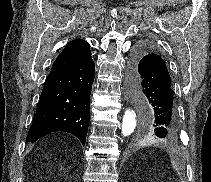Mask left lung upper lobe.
I'll return each instance as SVG.
<instances>
[{
	"label": "left lung upper lobe",
	"mask_w": 211,
	"mask_h": 182,
	"mask_svg": "<svg viewBox=\"0 0 211 182\" xmlns=\"http://www.w3.org/2000/svg\"><path fill=\"white\" fill-rule=\"evenodd\" d=\"M148 133H150V129L149 128L146 129V134H148Z\"/></svg>",
	"instance_id": "left-lung-upper-lobe-1"
}]
</instances>
